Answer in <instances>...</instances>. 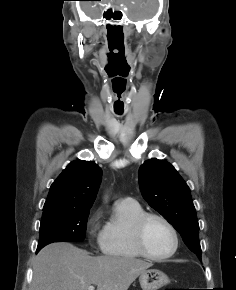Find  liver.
I'll return each mask as SVG.
<instances>
[{"label":"liver","mask_w":236,"mask_h":290,"mask_svg":"<svg viewBox=\"0 0 236 290\" xmlns=\"http://www.w3.org/2000/svg\"><path fill=\"white\" fill-rule=\"evenodd\" d=\"M152 263L130 257H93L67 242L44 247L33 263L30 290H128Z\"/></svg>","instance_id":"6515ba94"}]
</instances>
